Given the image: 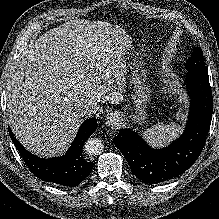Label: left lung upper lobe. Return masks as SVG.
I'll list each match as a JSON object with an SVG mask.
<instances>
[{
  "label": "left lung upper lobe",
  "mask_w": 219,
  "mask_h": 219,
  "mask_svg": "<svg viewBox=\"0 0 219 219\" xmlns=\"http://www.w3.org/2000/svg\"><path fill=\"white\" fill-rule=\"evenodd\" d=\"M186 69L188 72H195L208 75L207 69L203 60V52L201 48H195L193 55L186 61Z\"/></svg>",
  "instance_id": "obj_1"
}]
</instances>
